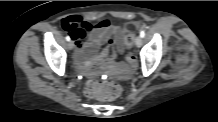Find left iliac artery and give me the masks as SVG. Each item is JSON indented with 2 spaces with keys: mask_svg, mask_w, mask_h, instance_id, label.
Listing matches in <instances>:
<instances>
[{
  "mask_svg": "<svg viewBox=\"0 0 218 122\" xmlns=\"http://www.w3.org/2000/svg\"><path fill=\"white\" fill-rule=\"evenodd\" d=\"M140 36H141L142 38H144V36H145V31H144V30H141V31H140Z\"/></svg>",
  "mask_w": 218,
  "mask_h": 122,
  "instance_id": "44dca946",
  "label": "left iliac artery"
}]
</instances>
